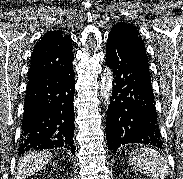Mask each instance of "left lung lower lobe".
Returning <instances> with one entry per match:
<instances>
[{"label":"left lung lower lobe","mask_w":183,"mask_h":179,"mask_svg":"<svg viewBox=\"0 0 183 179\" xmlns=\"http://www.w3.org/2000/svg\"><path fill=\"white\" fill-rule=\"evenodd\" d=\"M106 62L114 76L106 119V139L112 153L128 143L161 148V134L144 47L133 38L110 32Z\"/></svg>","instance_id":"1"}]
</instances>
